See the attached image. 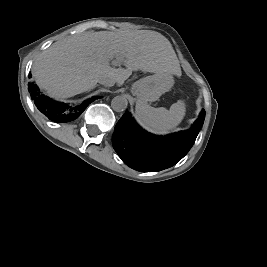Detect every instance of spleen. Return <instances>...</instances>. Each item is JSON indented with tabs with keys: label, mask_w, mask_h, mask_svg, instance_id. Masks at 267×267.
<instances>
[{
	"label": "spleen",
	"mask_w": 267,
	"mask_h": 267,
	"mask_svg": "<svg viewBox=\"0 0 267 267\" xmlns=\"http://www.w3.org/2000/svg\"><path fill=\"white\" fill-rule=\"evenodd\" d=\"M185 116V106L182 101L164 107L154 108L142 101H137L135 118L145 130L156 135H166L176 128Z\"/></svg>",
	"instance_id": "spleen-1"
}]
</instances>
